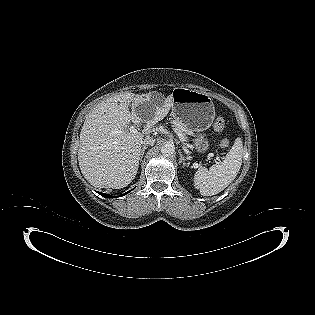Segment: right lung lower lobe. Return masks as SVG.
Listing matches in <instances>:
<instances>
[{"instance_id": "98d812e1", "label": "right lung lower lobe", "mask_w": 315, "mask_h": 315, "mask_svg": "<svg viewBox=\"0 0 315 315\" xmlns=\"http://www.w3.org/2000/svg\"><path fill=\"white\" fill-rule=\"evenodd\" d=\"M98 193H99L100 195H102L103 197H106V198H115V196H111V195H109V194L100 193V192H98ZM127 193H128V192L122 194L121 196L126 195Z\"/></svg>"}]
</instances>
